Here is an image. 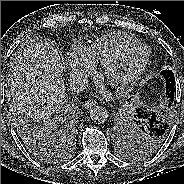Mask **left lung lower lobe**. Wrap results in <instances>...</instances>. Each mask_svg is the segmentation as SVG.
<instances>
[{
  "label": "left lung lower lobe",
  "instance_id": "obj_1",
  "mask_svg": "<svg viewBox=\"0 0 184 184\" xmlns=\"http://www.w3.org/2000/svg\"><path fill=\"white\" fill-rule=\"evenodd\" d=\"M161 75H163V77L165 78L166 95L169 98V103L166 106L169 108L174 99L175 77L174 73L171 70H164L161 72ZM168 112L169 111H167L166 108L161 110H150L140 107L136 108L134 116L144 119L147 122V125L149 126L150 130L154 132L157 136L162 137L167 136L169 134L171 126L169 120L167 119ZM127 133L128 126L122 132L125 138L127 137Z\"/></svg>",
  "mask_w": 184,
  "mask_h": 184
}]
</instances>
